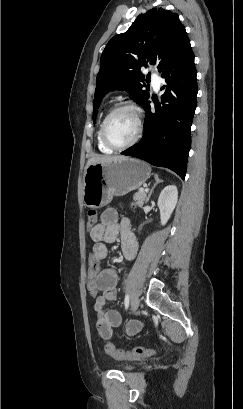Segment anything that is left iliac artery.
Returning a JSON list of instances; mask_svg holds the SVG:
<instances>
[{
	"label": "left iliac artery",
	"instance_id": "44dca946",
	"mask_svg": "<svg viewBox=\"0 0 243 409\" xmlns=\"http://www.w3.org/2000/svg\"><path fill=\"white\" fill-rule=\"evenodd\" d=\"M124 306H125V309H126V310H127L128 307H129V295H128V294L125 295Z\"/></svg>",
	"mask_w": 243,
	"mask_h": 409
}]
</instances>
